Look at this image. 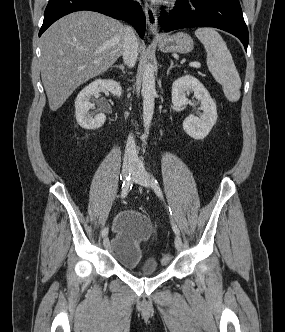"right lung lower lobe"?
<instances>
[{
  "label": "right lung lower lobe",
  "instance_id": "obj_1",
  "mask_svg": "<svg viewBox=\"0 0 285 332\" xmlns=\"http://www.w3.org/2000/svg\"><path fill=\"white\" fill-rule=\"evenodd\" d=\"M80 10L96 11L123 19L135 27L141 37L145 34L146 20L140 4L133 0H49L39 36L59 18Z\"/></svg>",
  "mask_w": 285,
  "mask_h": 332
}]
</instances>
